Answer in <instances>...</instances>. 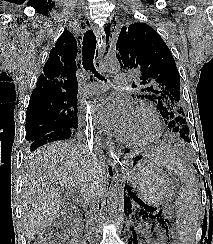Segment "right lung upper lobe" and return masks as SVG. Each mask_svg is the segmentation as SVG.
I'll use <instances>...</instances> for the list:
<instances>
[{"instance_id":"cb5924a9","label":"right lung upper lobe","mask_w":213,"mask_h":244,"mask_svg":"<svg viewBox=\"0 0 213 244\" xmlns=\"http://www.w3.org/2000/svg\"><path fill=\"white\" fill-rule=\"evenodd\" d=\"M77 42L69 31H64L44 65L31 98L42 96H76Z\"/></svg>"}]
</instances>
